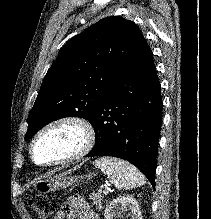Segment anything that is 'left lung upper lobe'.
Masks as SVG:
<instances>
[{"label": "left lung upper lobe", "instance_id": "1", "mask_svg": "<svg viewBox=\"0 0 211 219\" xmlns=\"http://www.w3.org/2000/svg\"><path fill=\"white\" fill-rule=\"evenodd\" d=\"M147 42L131 21L104 18L69 40L48 69L28 116L25 140L64 117L89 122L120 75Z\"/></svg>", "mask_w": 211, "mask_h": 219}]
</instances>
